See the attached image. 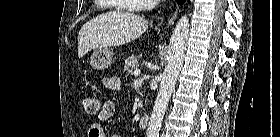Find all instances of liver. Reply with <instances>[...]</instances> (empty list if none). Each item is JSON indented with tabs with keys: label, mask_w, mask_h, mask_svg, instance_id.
Here are the masks:
<instances>
[{
	"label": "liver",
	"mask_w": 280,
	"mask_h": 137,
	"mask_svg": "<svg viewBox=\"0 0 280 137\" xmlns=\"http://www.w3.org/2000/svg\"><path fill=\"white\" fill-rule=\"evenodd\" d=\"M148 26V21L130 12L112 11L98 15L79 31L78 57L82 58L92 49L127 44L140 37Z\"/></svg>",
	"instance_id": "6515ba94"
}]
</instances>
